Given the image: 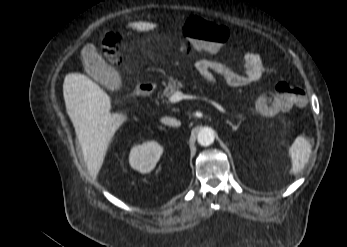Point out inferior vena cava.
<instances>
[{
	"mask_svg": "<svg viewBox=\"0 0 347 247\" xmlns=\"http://www.w3.org/2000/svg\"><path fill=\"white\" fill-rule=\"evenodd\" d=\"M161 122L167 125H171V126H180V121H178L175 118H170V117H163L161 119Z\"/></svg>",
	"mask_w": 347,
	"mask_h": 247,
	"instance_id": "1",
	"label": "inferior vena cava"
}]
</instances>
